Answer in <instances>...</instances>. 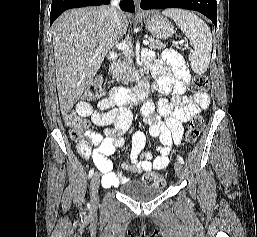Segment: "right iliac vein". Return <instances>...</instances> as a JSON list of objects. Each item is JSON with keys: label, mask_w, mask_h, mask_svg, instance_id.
I'll list each match as a JSON object with an SVG mask.
<instances>
[{"label": "right iliac vein", "mask_w": 257, "mask_h": 237, "mask_svg": "<svg viewBox=\"0 0 257 237\" xmlns=\"http://www.w3.org/2000/svg\"><path fill=\"white\" fill-rule=\"evenodd\" d=\"M100 184V177L98 173H95L91 179L90 191H91V201L92 204L98 203V189Z\"/></svg>", "instance_id": "obj_1"}]
</instances>
